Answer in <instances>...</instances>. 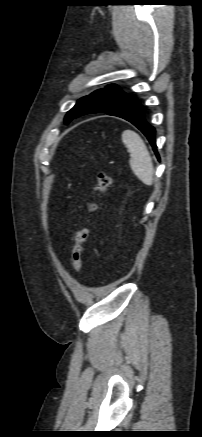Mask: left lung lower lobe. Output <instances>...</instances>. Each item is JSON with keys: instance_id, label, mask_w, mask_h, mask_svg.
<instances>
[{"instance_id": "obj_1", "label": "left lung lower lobe", "mask_w": 202, "mask_h": 437, "mask_svg": "<svg viewBox=\"0 0 202 437\" xmlns=\"http://www.w3.org/2000/svg\"><path fill=\"white\" fill-rule=\"evenodd\" d=\"M107 114L121 117L135 125L147 137L158 160H160L155 143V128L152 127L145 119L144 107L141 104L131 101L123 106L107 112Z\"/></svg>"}]
</instances>
